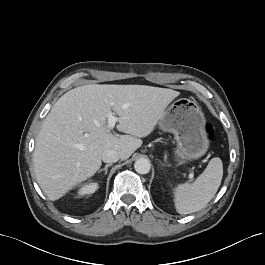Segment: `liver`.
<instances>
[{
	"instance_id": "1",
	"label": "liver",
	"mask_w": 265,
	"mask_h": 265,
	"mask_svg": "<svg viewBox=\"0 0 265 265\" xmlns=\"http://www.w3.org/2000/svg\"><path fill=\"white\" fill-rule=\"evenodd\" d=\"M179 92L146 85L90 84L61 96L43 121L33 154L37 182L51 201L92 177L102 154L115 150L128 159L163 117ZM120 118L116 136L107 115Z\"/></svg>"
}]
</instances>
